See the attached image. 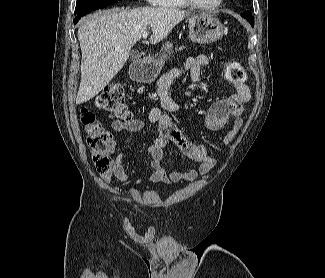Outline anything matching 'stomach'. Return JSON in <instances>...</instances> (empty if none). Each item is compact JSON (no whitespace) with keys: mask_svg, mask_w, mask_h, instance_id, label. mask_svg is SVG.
Returning a JSON list of instances; mask_svg holds the SVG:
<instances>
[{"mask_svg":"<svg viewBox=\"0 0 325 278\" xmlns=\"http://www.w3.org/2000/svg\"><path fill=\"white\" fill-rule=\"evenodd\" d=\"M224 34L222 23L210 14L193 15L188 19V37L199 44H209L220 40ZM173 45L166 42L162 46L163 54L160 58L146 64L139 65L131 72V78L136 82L151 83L159 75L166 53Z\"/></svg>","mask_w":325,"mask_h":278,"instance_id":"stomach-1","label":"stomach"}]
</instances>
